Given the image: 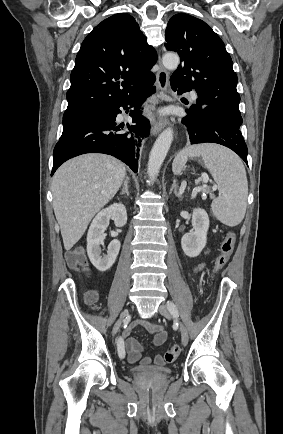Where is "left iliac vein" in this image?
<instances>
[{"label":"left iliac vein","mask_w":283,"mask_h":434,"mask_svg":"<svg viewBox=\"0 0 283 434\" xmlns=\"http://www.w3.org/2000/svg\"><path fill=\"white\" fill-rule=\"evenodd\" d=\"M159 313L168 319L173 318L172 313L169 311L168 307L164 304H161L159 306ZM179 330L181 333L182 344L184 346H186L188 343V338H189L188 331H187V328L181 322H179Z\"/></svg>","instance_id":"4c4485c4"}]
</instances>
